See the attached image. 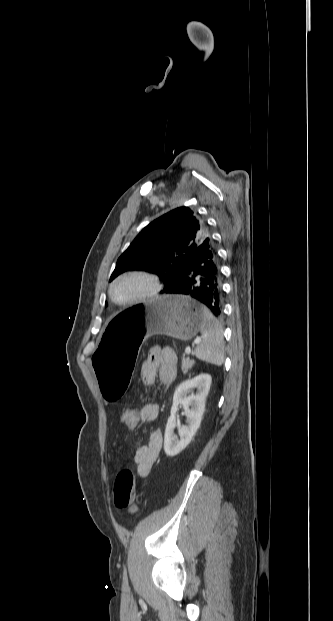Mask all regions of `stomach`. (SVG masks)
Returning <instances> with one entry per match:
<instances>
[{"label": "stomach", "instance_id": "stomach-1", "mask_svg": "<svg viewBox=\"0 0 333 621\" xmlns=\"http://www.w3.org/2000/svg\"><path fill=\"white\" fill-rule=\"evenodd\" d=\"M205 307L182 295L136 304L106 322L94 354L95 379L107 402H122L137 367L136 352L155 334L187 341L203 323Z\"/></svg>", "mask_w": 333, "mask_h": 621}]
</instances>
